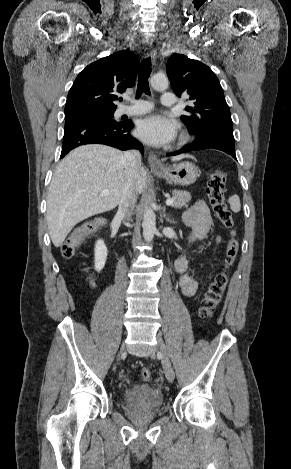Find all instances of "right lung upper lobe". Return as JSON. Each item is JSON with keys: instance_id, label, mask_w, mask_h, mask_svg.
Segmentation results:
<instances>
[{"instance_id": "right-lung-upper-lobe-1", "label": "right lung upper lobe", "mask_w": 291, "mask_h": 469, "mask_svg": "<svg viewBox=\"0 0 291 469\" xmlns=\"http://www.w3.org/2000/svg\"><path fill=\"white\" fill-rule=\"evenodd\" d=\"M139 59L122 50L88 65L75 79L65 105V116L92 110H113L116 93L134 85Z\"/></svg>"}]
</instances>
